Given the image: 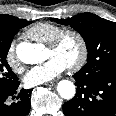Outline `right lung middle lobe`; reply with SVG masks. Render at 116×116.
Returning <instances> with one entry per match:
<instances>
[{
  "label": "right lung middle lobe",
  "instance_id": "1",
  "mask_svg": "<svg viewBox=\"0 0 116 116\" xmlns=\"http://www.w3.org/2000/svg\"><path fill=\"white\" fill-rule=\"evenodd\" d=\"M30 23L32 22L25 20L11 27L0 26V89L10 86L18 80L17 75L8 65L6 56L14 35L19 29Z\"/></svg>",
  "mask_w": 116,
  "mask_h": 116
}]
</instances>
